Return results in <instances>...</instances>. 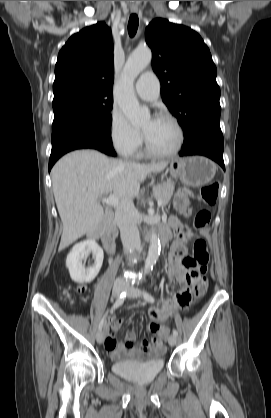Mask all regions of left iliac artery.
<instances>
[{
	"mask_svg": "<svg viewBox=\"0 0 271 418\" xmlns=\"http://www.w3.org/2000/svg\"><path fill=\"white\" fill-rule=\"evenodd\" d=\"M143 295H144V298L147 302H150V303L155 302L154 297L150 293L144 291ZM172 333H173V335L178 336V331L176 329H173Z\"/></svg>",
	"mask_w": 271,
	"mask_h": 418,
	"instance_id": "obj_1",
	"label": "left iliac artery"
}]
</instances>
